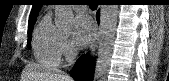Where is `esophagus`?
<instances>
[{"mask_svg": "<svg viewBox=\"0 0 169 81\" xmlns=\"http://www.w3.org/2000/svg\"><path fill=\"white\" fill-rule=\"evenodd\" d=\"M94 20L96 25V32L94 35V38L90 44L89 52L94 55L97 47L101 40V34H102V21H103V7L99 5L94 13Z\"/></svg>", "mask_w": 169, "mask_h": 81, "instance_id": "esophagus-1", "label": "esophagus"}]
</instances>
